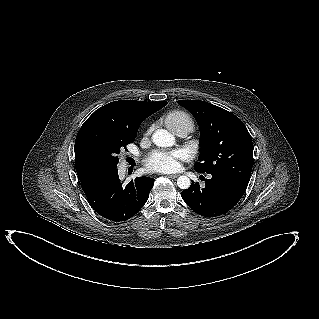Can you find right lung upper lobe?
I'll return each instance as SVG.
<instances>
[{
  "mask_svg": "<svg viewBox=\"0 0 319 319\" xmlns=\"http://www.w3.org/2000/svg\"><path fill=\"white\" fill-rule=\"evenodd\" d=\"M167 105V102H144L136 100H119L111 102L96 110L82 125L118 131L135 139L137 130L143 120ZM75 167L80 181L97 173L75 158Z\"/></svg>",
  "mask_w": 319,
  "mask_h": 319,
  "instance_id": "obj_1",
  "label": "right lung upper lobe"
}]
</instances>
